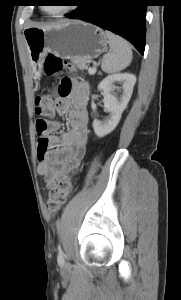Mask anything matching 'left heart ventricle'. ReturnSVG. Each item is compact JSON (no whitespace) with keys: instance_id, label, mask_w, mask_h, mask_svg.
Masks as SVG:
<instances>
[{"instance_id":"b2bd125f","label":"left heart ventricle","mask_w":181,"mask_h":300,"mask_svg":"<svg viewBox=\"0 0 181 300\" xmlns=\"http://www.w3.org/2000/svg\"><path fill=\"white\" fill-rule=\"evenodd\" d=\"M52 4H48L45 6V9L48 13L56 14L64 10L67 6L68 1H48ZM58 4V5H53Z\"/></svg>"}]
</instances>
